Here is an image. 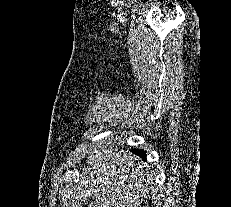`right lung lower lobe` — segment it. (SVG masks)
I'll return each instance as SVG.
<instances>
[{
	"label": "right lung lower lobe",
	"instance_id": "right-lung-lower-lobe-1",
	"mask_svg": "<svg viewBox=\"0 0 231 207\" xmlns=\"http://www.w3.org/2000/svg\"><path fill=\"white\" fill-rule=\"evenodd\" d=\"M135 154L139 155L140 157H143V158H146L145 156V152L143 150H138V149H135V150H132Z\"/></svg>",
	"mask_w": 231,
	"mask_h": 207
}]
</instances>
